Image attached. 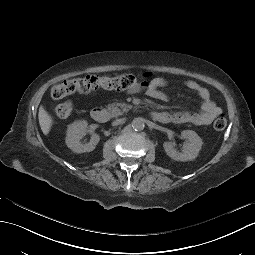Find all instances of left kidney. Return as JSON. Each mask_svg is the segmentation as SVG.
Masks as SVG:
<instances>
[{
	"instance_id": "obj_1",
	"label": "left kidney",
	"mask_w": 255,
	"mask_h": 255,
	"mask_svg": "<svg viewBox=\"0 0 255 255\" xmlns=\"http://www.w3.org/2000/svg\"><path fill=\"white\" fill-rule=\"evenodd\" d=\"M181 136L187 139V142L183 145L182 152H177L174 148L175 143L165 142L163 147L169 157L177 161H191L195 159L202 147V139L192 130H184L181 132Z\"/></svg>"
}]
</instances>
